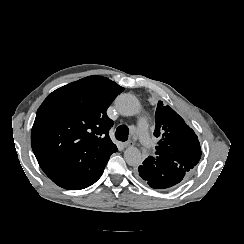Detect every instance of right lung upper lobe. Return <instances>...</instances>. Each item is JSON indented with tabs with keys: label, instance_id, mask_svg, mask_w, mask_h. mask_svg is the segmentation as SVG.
I'll return each instance as SVG.
<instances>
[{
	"label": "right lung upper lobe",
	"instance_id": "1",
	"mask_svg": "<svg viewBox=\"0 0 244 244\" xmlns=\"http://www.w3.org/2000/svg\"><path fill=\"white\" fill-rule=\"evenodd\" d=\"M123 90L108 78L93 75L48 95L37 111L31 145L50 179L116 149L106 111Z\"/></svg>",
	"mask_w": 244,
	"mask_h": 244
}]
</instances>
